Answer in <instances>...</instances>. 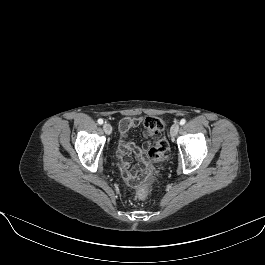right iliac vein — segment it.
<instances>
[{
    "mask_svg": "<svg viewBox=\"0 0 265 265\" xmlns=\"http://www.w3.org/2000/svg\"><path fill=\"white\" fill-rule=\"evenodd\" d=\"M103 130L106 134L110 135L112 132V127L109 123H104Z\"/></svg>",
    "mask_w": 265,
    "mask_h": 265,
    "instance_id": "63e3f726",
    "label": "right iliac vein"
}]
</instances>
